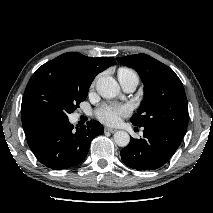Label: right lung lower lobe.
<instances>
[{"label": "right lung lower lobe", "instance_id": "98d812e1", "mask_svg": "<svg viewBox=\"0 0 213 213\" xmlns=\"http://www.w3.org/2000/svg\"><path fill=\"white\" fill-rule=\"evenodd\" d=\"M21 118L30 149L39 162L53 170L81 163L91 140L103 133V126L96 120L74 130L68 119L36 109H23Z\"/></svg>", "mask_w": 213, "mask_h": 213}]
</instances>
